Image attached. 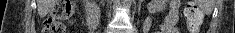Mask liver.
<instances>
[{
	"instance_id": "obj_1",
	"label": "liver",
	"mask_w": 235,
	"mask_h": 33,
	"mask_svg": "<svg viewBox=\"0 0 235 33\" xmlns=\"http://www.w3.org/2000/svg\"><path fill=\"white\" fill-rule=\"evenodd\" d=\"M53 4L54 1L52 0H37L38 14L41 17L46 16Z\"/></svg>"
}]
</instances>
